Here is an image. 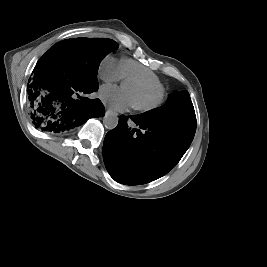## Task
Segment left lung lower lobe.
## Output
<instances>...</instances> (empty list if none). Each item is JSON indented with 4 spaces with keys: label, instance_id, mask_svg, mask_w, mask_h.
I'll return each mask as SVG.
<instances>
[{
    "label": "left lung lower lobe",
    "instance_id": "0a47b994",
    "mask_svg": "<svg viewBox=\"0 0 267 267\" xmlns=\"http://www.w3.org/2000/svg\"><path fill=\"white\" fill-rule=\"evenodd\" d=\"M130 129L121 115L103 145V159L110 176L117 182L137 185L156 180L168 173L190 146L195 132L184 127L145 122L137 115Z\"/></svg>",
    "mask_w": 267,
    "mask_h": 267
}]
</instances>
